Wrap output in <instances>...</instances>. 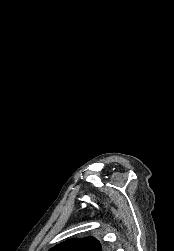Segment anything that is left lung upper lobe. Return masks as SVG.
Returning <instances> with one entry per match:
<instances>
[{"mask_svg":"<svg viewBox=\"0 0 174 251\" xmlns=\"http://www.w3.org/2000/svg\"><path fill=\"white\" fill-rule=\"evenodd\" d=\"M105 246L93 237L69 239L51 248L49 251H103Z\"/></svg>","mask_w":174,"mask_h":251,"instance_id":"1","label":"left lung upper lobe"}]
</instances>
